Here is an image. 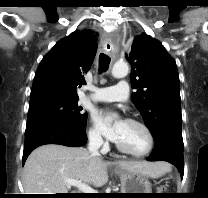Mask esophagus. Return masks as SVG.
<instances>
[{"label":"esophagus","instance_id":"1","mask_svg":"<svg viewBox=\"0 0 208 198\" xmlns=\"http://www.w3.org/2000/svg\"><path fill=\"white\" fill-rule=\"evenodd\" d=\"M111 48H112V45H111L110 43H107V44L105 45V47H104V49H105V51H106L107 53H110Z\"/></svg>","mask_w":208,"mask_h":198}]
</instances>
